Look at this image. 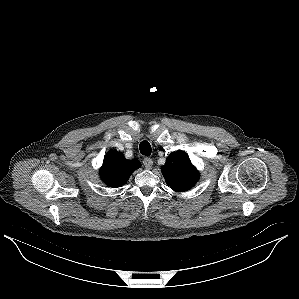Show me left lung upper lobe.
I'll list each match as a JSON object with an SVG mask.
<instances>
[{
    "mask_svg": "<svg viewBox=\"0 0 299 299\" xmlns=\"http://www.w3.org/2000/svg\"><path fill=\"white\" fill-rule=\"evenodd\" d=\"M162 173L167 184L178 192L191 189L199 179V172L190 162L189 156L181 150L167 157Z\"/></svg>",
    "mask_w": 299,
    "mask_h": 299,
    "instance_id": "5c2ea615",
    "label": "left lung upper lobe"
}]
</instances>
